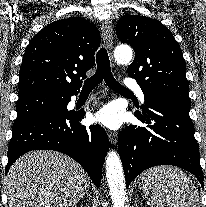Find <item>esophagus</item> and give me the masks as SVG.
Listing matches in <instances>:
<instances>
[{
  "instance_id": "1",
  "label": "esophagus",
  "mask_w": 206,
  "mask_h": 207,
  "mask_svg": "<svg viewBox=\"0 0 206 207\" xmlns=\"http://www.w3.org/2000/svg\"><path fill=\"white\" fill-rule=\"evenodd\" d=\"M102 36L106 47L110 50L113 43V27L109 20H104L101 25ZM109 140L112 144H116L118 140V134L116 132H108Z\"/></svg>"
}]
</instances>
